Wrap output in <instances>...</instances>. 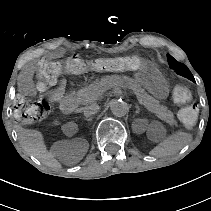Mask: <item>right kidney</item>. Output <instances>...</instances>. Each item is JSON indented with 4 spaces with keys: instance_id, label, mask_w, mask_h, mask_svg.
Masks as SVG:
<instances>
[{
    "instance_id": "right-kidney-1",
    "label": "right kidney",
    "mask_w": 211,
    "mask_h": 211,
    "mask_svg": "<svg viewBox=\"0 0 211 211\" xmlns=\"http://www.w3.org/2000/svg\"><path fill=\"white\" fill-rule=\"evenodd\" d=\"M63 131L67 135H73V134L77 133L78 127L75 123L69 122V123H67L66 125L63 126Z\"/></svg>"
}]
</instances>
